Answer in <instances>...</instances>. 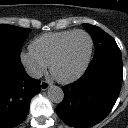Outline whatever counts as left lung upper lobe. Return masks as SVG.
<instances>
[{
    "label": "left lung upper lobe",
    "mask_w": 128,
    "mask_h": 128,
    "mask_svg": "<svg viewBox=\"0 0 128 128\" xmlns=\"http://www.w3.org/2000/svg\"><path fill=\"white\" fill-rule=\"evenodd\" d=\"M83 26L90 32L95 44V55L107 50L119 49L115 40L98 26L83 24Z\"/></svg>",
    "instance_id": "obj_1"
}]
</instances>
